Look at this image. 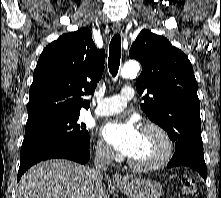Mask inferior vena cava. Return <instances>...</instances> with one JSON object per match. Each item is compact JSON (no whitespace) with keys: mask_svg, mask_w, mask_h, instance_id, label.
<instances>
[{"mask_svg":"<svg viewBox=\"0 0 221 198\" xmlns=\"http://www.w3.org/2000/svg\"><path fill=\"white\" fill-rule=\"evenodd\" d=\"M113 158L112 150L104 145L96 147L95 157H94V169L89 171L90 178L98 183L102 181L103 172L108 169L109 164Z\"/></svg>","mask_w":221,"mask_h":198,"instance_id":"1","label":"inferior vena cava"}]
</instances>
